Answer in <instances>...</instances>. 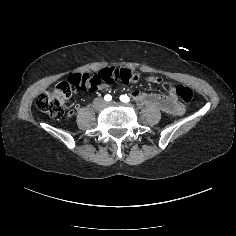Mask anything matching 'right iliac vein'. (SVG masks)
Segmentation results:
<instances>
[{"instance_id":"1","label":"right iliac vein","mask_w":236,"mask_h":236,"mask_svg":"<svg viewBox=\"0 0 236 236\" xmlns=\"http://www.w3.org/2000/svg\"><path fill=\"white\" fill-rule=\"evenodd\" d=\"M96 106L98 108H103L105 106V102L102 99H100L97 101Z\"/></svg>"}]
</instances>
